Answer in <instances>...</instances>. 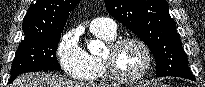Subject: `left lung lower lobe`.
I'll return each mask as SVG.
<instances>
[{"label":"left lung lower lobe","mask_w":205,"mask_h":87,"mask_svg":"<svg viewBox=\"0 0 205 87\" xmlns=\"http://www.w3.org/2000/svg\"><path fill=\"white\" fill-rule=\"evenodd\" d=\"M188 79L195 80L193 75L189 76Z\"/></svg>","instance_id":"1"}]
</instances>
